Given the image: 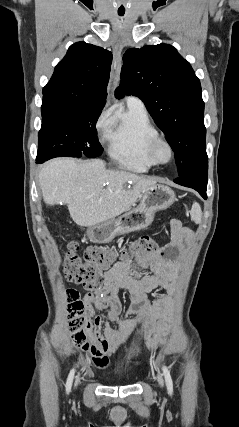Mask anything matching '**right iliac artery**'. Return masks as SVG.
<instances>
[{
    "label": "right iliac artery",
    "instance_id": "1",
    "mask_svg": "<svg viewBox=\"0 0 239 427\" xmlns=\"http://www.w3.org/2000/svg\"><path fill=\"white\" fill-rule=\"evenodd\" d=\"M74 374H75V370L74 368L70 371L68 379H67V383H66V392L69 393L71 390V386H72V382H73V378H74Z\"/></svg>",
    "mask_w": 239,
    "mask_h": 427
}]
</instances>
